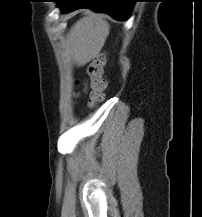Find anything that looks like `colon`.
<instances>
[{
    "mask_svg": "<svg viewBox=\"0 0 202 217\" xmlns=\"http://www.w3.org/2000/svg\"><path fill=\"white\" fill-rule=\"evenodd\" d=\"M106 64V55L104 53L96 54L88 67V75L91 82V92L88 107H96L104 97L106 82L103 78L104 66Z\"/></svg>",
    "mask_w": 202,
    "mask_h": 217,
    "instance_id": "1",
    "label": "colon"
}]
</instances>
